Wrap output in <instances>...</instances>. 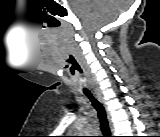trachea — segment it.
<instances>
[{
	"mask_svg": "<svg viewBox=\"0 0 160 137\" xmlns=\"http://www.w3.org/2000/svg\"><path fill=\"white\" fill-rule=\"evenodd\" d=\"M72 61V73H74V69L78 70L80 73H82V70L80 68V66L78 65V63L74 60V58H71ZM78 81H80V79L78 78ZM84 94L89 98V100L92 102L94 108L96 109L97 113H98V118L100 120V127H101V131L103 133L104 136L102 137H112L111 133H110V129H109V124L107 121V116H106V111L105 108L103 107V105L96 100L92 94L88 91H85Z\"/></svg>",
	"mask_w": 160,
	"mask_h": 137,
	"instance_id": "1",
	"label": "trachea"
}]
</instances>
